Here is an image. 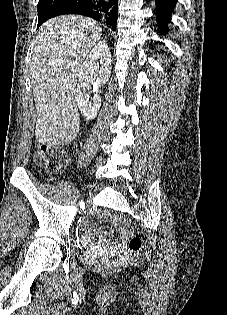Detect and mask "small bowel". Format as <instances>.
<instances>
[{"label":"small bowel","mask_w":227,"mask_h":315,"mask_svg":"<svg viewBox=\"0 0 227 315\" xmlns=\"http://www.w3.org/2000/svg\"><path fill=\"white\" fill-rule=\"evenodd\" d=\"M97 234H98L99 236H101V237H105V236H106V232H105V230H104L103 227H99V228L97 229ZM84 236H85L86 238H91V236H92L91 230L88 229V230L85 232Z\"/></svg>","instance_id":"1"}]
</instances>
